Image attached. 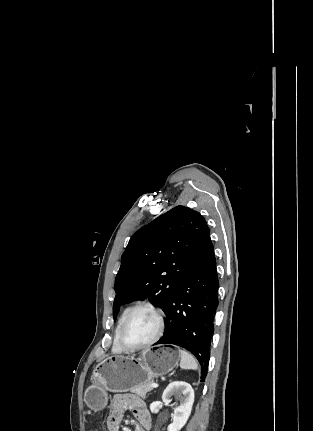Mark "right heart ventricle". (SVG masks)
Segmentation results:
<instances>
[{
  "label": "right heart ventricle",
  "instance_id": "obj_1",
  "mask_svg": "<svg viewBox=\"0 0 313 431\" xmlns=\"http://www.w3.org/2000/svg\"><path fill=\"white\" fill-rule=\"evenodd\" d=\"M131 307H126L124 308V310L122 311V313L119 316L116 328H115V332H114V340H113V345H112V351L115 353H120L123 351V349L119 346L118 341H117V336H118V332L120 329V326L123 322V320L125 319L126 315L129 313V311L131 310Z\"/></svg>",
  "mask_w": 313,
  "mask_h": 431
}]
</instances>
